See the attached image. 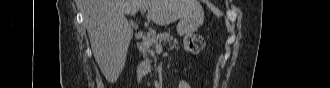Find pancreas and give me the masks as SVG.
Here are the masks:
<instances>
[{"mask_svg":"<svg viewBox=\"0 0 330 88\" xmlns=\"http://www.w3.org/2000/svg\"><path fill=\"white\" fill-rule=\"evenodd\" d=\"M162 43H168L171 48H177V40L174 39L169 32H163L157 35H147L141 43V49L145 56L155 58L153 48H155L156 45H161Z\"/></svg>","mask_w":330,"mask_h":88,"instance_id":"cf45deb5","label":"pancreas"}]
</instances>
